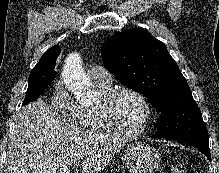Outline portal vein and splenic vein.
<instances>
[{
  "instance_id": "1",
  "label": "portal vein and splenic vein",
  "mask_w": 219,
  "mask_h": 173,
  "mask_svg": "<svg viewBox=\"0 0 219 173\" xmlns=\"http://www.w3.org/2000/svg\"><path fill=\"white\" fill-rule=\"evenodd\" d=\"M78 165H79L78 163H74L72 166L73 168H77Z\"/></svg>"
}]
</instances>
